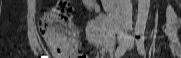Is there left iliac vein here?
<instances>
[{
    "label": "left iliac vein",
    "instance_id": "1",
    "mask_svg": "<svg viewBox=\"0 0 181 58\" xmlns=\"http://www.w3.org/2000/svg\"><path fill=\"white\" fill-rule=\"evenodd\" d=\"M130 48H133V43L131 44Z\"/></svg>",
    "mask_w": 181,
    "mask_h": 58
}]
</instances>
